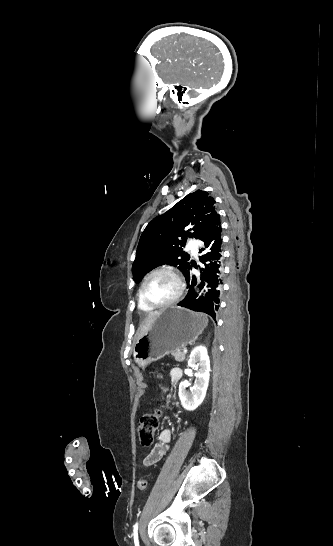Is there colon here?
<instances>
[{"label": "colon", "instance_id": "1", "mask_svg": "<svg viewBox=\"0 0 333 546\" xmlns=\"http://www.w3.org/2000/svg\"><path fill=\"white\" fill-rule=\"evenodd\" d=\"M159 417V411L147 413L141 417L138 427L141 446L149 447L153 444L155 433L159 428ZM147 485L148 483L144 479L139 480L137 483V487L140 491L146 490Z\"/></svg>", "mask_w": 333, "mask_h": 546}]
</instances>
